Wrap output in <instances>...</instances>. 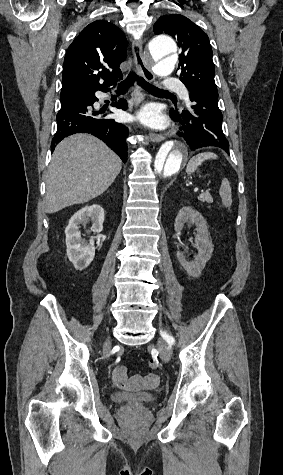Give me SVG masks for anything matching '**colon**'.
I'll return each instance as SVG.
<instances>
[{
  "label": "colon",
  "mask_w": 283,
  "mask_h": 475,
  "mask_svg": "<svg viewBox=\"0 0 283 475\" xmlns=\"http://www.w3.org/2000/svg\"><path fill=\"white\" fill-rule=\"evenodd\" d=\"M148 365H149V368H150L151 370H155V369H157L159 363H158V360H157V359H151V360L149 361V364H148Z\"/></svg>",
  "instance_id": "obj_1"
}]
</instances>
